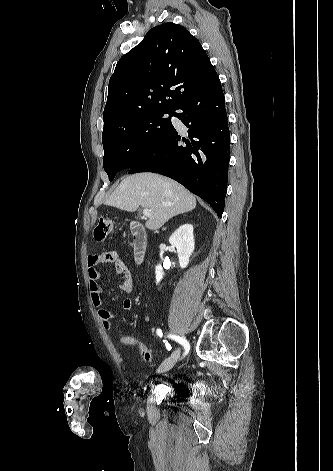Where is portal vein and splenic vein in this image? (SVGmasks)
I'll return each instance as SVG.
<instances>
[{
	"instance_id": "portal-vein-and-splenic-vein-1",
	"label": "portal vein and splenic vein",
	"mask_w": 333,
	"mask_h": 471,
	"mask_svg": "<svg viewBox=\"0 0 333 471\" xmlns=\"http://www.w3.org/2000/svg\"><path fill=\"white\" fill-rule=\"evenodd\" d=\"M151 212H152L151 209H148V208L143 209V215L146 216V217L151 216Z\"/></svg>"
}]
</instances>
